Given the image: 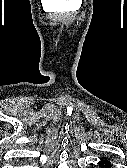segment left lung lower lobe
Here are the masks:
<instances>
[{"label": "left lung lower lobe", "instance_id": "0a47b994", "mask_svg": "<svg viewBox=\"0 0 127 168\" xmlns=\"http://www.w3.org/2000/svg\"><path fill=\"white\" fill-rule=\"evenodd\" d=\"M99 165L103 168H111L112 167L108 160L105 161V160H102V159H101Z\"/></svg>", "mask_w": 127, "mask_h": 168}]
</instances>
